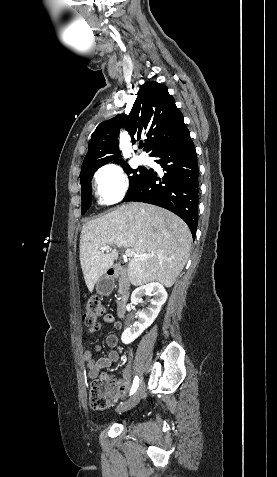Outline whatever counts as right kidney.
<instances>
[{
	"instance_id": "ca27d5eb",
	"label": "right kidney",
	"mask_w": 277,
	"mask_h": 477,
	"mask_svg": "<svg viewBox=\"0 0 277 477\" xmlns=\"http://www.w3.org/2000/svg\"><path fill=\"white\" fill-rule=\"evenodd\" d=\"M143 296H150L151 304L147 309L137 313L138 321L128 324L121 336L124 344H129L138 338L158 316L162 305L166 302L167 292L162 284L152 282L136 288L131 295V303L137 304Z\"/></svg>"
}]
</instances>
